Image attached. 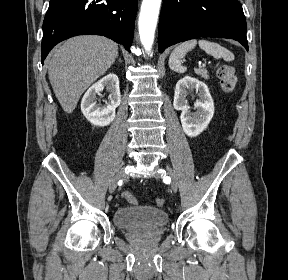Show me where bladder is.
<instances>
[{
  "mask_svg": "<svg viewBox=\"0 0 288 280\" xmlns=\"http://www.w3.org/2000/svg\"><path fill=\"white\" fill-rule=\"evenodd\" d=\"M112 220L122 230L158 232L166 228L169 216L162 209L137 205L116 209Z\"/></svg>",
  "mask_w": 288,
  "mask_h": 280,
  "instance_id": "bladder-1",
  "label": "bladder"
}]
</instances>
